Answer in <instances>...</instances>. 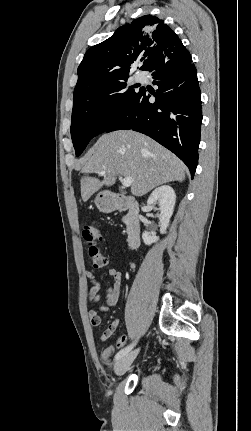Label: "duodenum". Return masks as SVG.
Masks as SVG:
<instances>
[{"label":"duodenum","mask_w":251,"mask_h":431,"mask_svg":"<svg viewBox=\"0 0 251 431\" xmlns=\"http://www.w3.org/2000/svg\"><path fill=\"white\" fill-rule=\"evenodd\" d=\"M112 210L126 211L125 228L128 246L136 248L140 241L139 205L131 197L116 194L110 201Z\"/></svg>","instance_id":"obj_1"}]
</instances>
